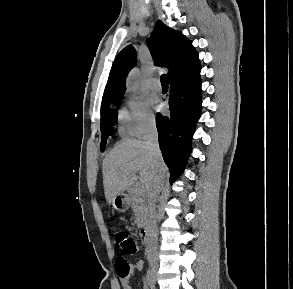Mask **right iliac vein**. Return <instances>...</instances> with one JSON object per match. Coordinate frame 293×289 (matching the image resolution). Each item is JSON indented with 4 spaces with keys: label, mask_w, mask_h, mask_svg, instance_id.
Returning <instances> with one entry per match:
<instances>
[{
    "label": "right iliac vein",
    "mask_w": 293,
    "mask_h": 289,
    "mask_svg": "<svg viewBox=\"0 0 293 289\" xmlns=\"http://www.w3.org/2000/svg\"><path fill=\"white\" fill-rule=\"evenodd\" d=\"M151 272H152V280L154 284L157 280V266L156 265L152 266Z\"/></svg>",
    "instance_id": "right-iliac-vein-1"
}]
</instances>
